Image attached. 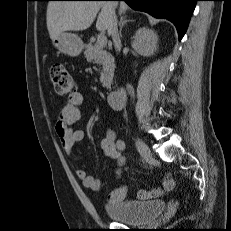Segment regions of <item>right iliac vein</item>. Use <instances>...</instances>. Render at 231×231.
I'll use <instances>...</instances> for the list:
<instances>
[{"label":"right iliac vein","instance_id":"63e3f726","mask_svg":"<svg viewBox=\"0 0 231 231\" xmlns=\"http://www.w3.org/2000/svg\"><path fill=\"white\" fill-rule=\"evenodd\" d=\"M136 147L143 159L150 160L152 158V153L150 148L144 141H142L139 138L136 139Z\"/></svg>","mask_w":231,"mask_h":231}]
</instances>
